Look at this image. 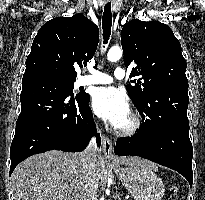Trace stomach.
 <instances>
[{
    "label": "stomach",
    "mask_w": 205,
    "mask_h": 200,
    "mask_svg": "<svg viewBox=\"0 0 205 200\" xmlns=\"http://www.w3.org/2000/svg\"><path fill=\"white\" fill-rule=\"evenodd\" d=\"M114 171L134 200H162L165 185L162 179L145 164L114 166Z\"/></svg>",
    "instance_id": "1"
}]
</instances>
